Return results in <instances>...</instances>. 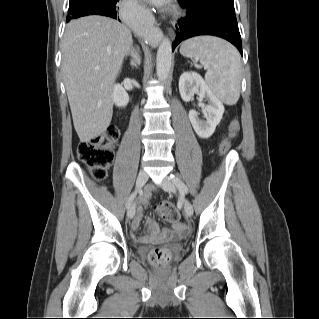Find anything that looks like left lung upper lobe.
I'll return each instance as SVG.
<instances>
[{
	"label": "left lung upper lobe",
	"mask_w": 319,
	"mask_h": 319,
	"mask_svg": "<svg viewBox=\"0 0 319 319\" xmlns=\"http://www.w3.org/2000/svg\"><path fill=\"white\" fill-rule=\"evenodd\" d=\"M182 2H195L198 5L220 9L231 14H235L233 0H180Z\"/></svg>",
	"instance_id": "1"
}]
</instances>
